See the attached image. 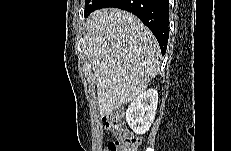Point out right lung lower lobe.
I'll return each instance as SVG.
<instances>
[{
    "instance_id": "1",
    "label": "right lung lower lobe",
    "mask_w": 231,
    "mask_h": 151,
    "mask_svg": "<svg viewBox=\"0 0 231 151\" xmlns=\"http://www.w3.org/2000/svg\"><path fill=\"white\" fill-rule=\"evenodd\" d=\"M104 7L120 8L140 18L155 35L162 55L165 54L169 37L168 0H94L84 15L87 17L91 12Z\"/></svg>"
}]
</instances>
